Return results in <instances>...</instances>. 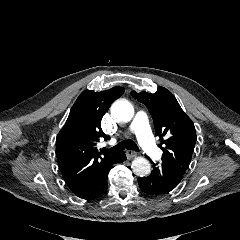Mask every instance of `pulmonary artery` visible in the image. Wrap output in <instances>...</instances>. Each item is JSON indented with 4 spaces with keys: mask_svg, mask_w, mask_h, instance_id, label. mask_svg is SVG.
Listing matches in <instances>:
<instances>
[{
    "mask_svg": "<svg viewBox=\"0 0 240 240\" xmlns=\"http://www.w3.org/2000/svg\"><path fill=\"white\" fill-rule=\"evenodd\" d=\"M129 130L135 133L140 145L151 158H160L161 150L154 142L148 125V117L144 111L136 113Z\"/></svg>",
    "mask_w": 240,
    "mask_h": 240,
    "instance_id": "1",
    "label": "pulmonary artery"
}]
</instances>
